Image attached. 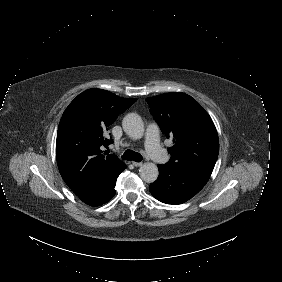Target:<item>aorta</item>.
<instances>
[{
	"label": "aorta",
	"instance_id": "obj_1",
	"mask_svg": "<svg viewBox=\"0 0 282 282\" xmlns=\"http://www.w3.org/2000/svg\"><path fill=\"white\" fill-rule=\"evenodd\" d=\"M125 133L132 139H140L144 133V123L140 115L128 113L122 121ZM141 179L147 183L155 182L158 178V167L151 162H146L139 169Z\"/></svg>",
	"mask_w": 282,
	"mask_h": 282
}]
</instances>
